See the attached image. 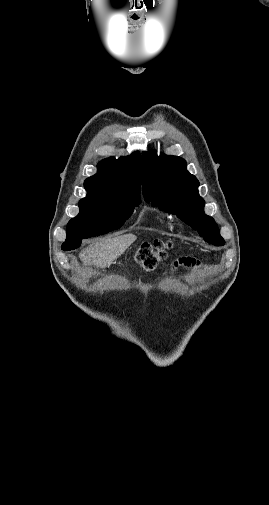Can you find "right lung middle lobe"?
Masks as SVG:
<instances>
[{"label": "right lung middle lobe", "instance_id": "1", "mask_svg": "<svg viewBox=\"0 0 269 505\" xmlns=\"http://www.w3.org/2000/svg\"><path fill=\"white\" fill-rule=\"evenodd\" d=\"M140 203L141 200L136 198L81 199L79 214L67 225V238L62 250L78 248L82 238L103 235L120 228Z\"/></svg>", "mask_w": 269, "mask_h": 505}]
</instances>
